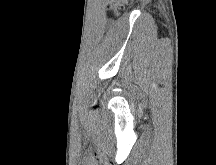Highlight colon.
I'll return each instance as SVG.
<instances>
[{"label":"colon","instance_id":"1","mask_svg":"<svg viewBox=\"0 0 216 165\" xmlns=\"http://www.w3.org/2000/svg\"><path fill=\"white\" fill-rule=\"evenodd\" d=\"M129 0H111L112 9L118 13Z\"/></svg>","mask_w":216,"mask_h":165}]
</instances>
